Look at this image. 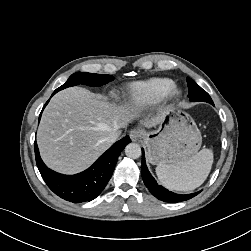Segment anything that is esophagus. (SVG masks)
<instances>
[{"label": "esophagus", "instance_id": "obj_1", "mask_svg": "<svg viewBox=\"0 0 251 251\" xmlns=\"http://www.w3.org/2000/svg\"><path fill=\"white\" fill-rule=\"evenodd\" d=\"M143 133L139 129H133L130 131V138L132 141H137L142 137Z\"/></svg>", "mask_w": 251, "mask_h": 251}]
</instances>
